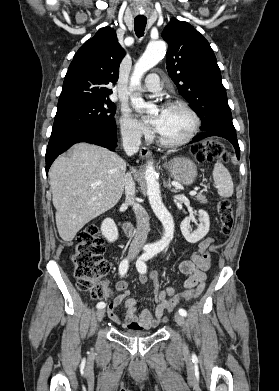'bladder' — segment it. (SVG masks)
Wrapping results in <instances>:
<instances>
[{
  "label": "bladder",
  "instance_id": "1",
  "mask_svg": "<svg viewBox=\"0 0 279 391\" xmlns=\"http://www.w3.org/2000/svg\"><path fill=\"white\" fill-rule=\"evenodd\" d=\"M121 334L127 338L139 339L149 335L147 332H138L134 330L121 331Z\"/></svg>",
  "mask_w": 279,
  "mask_h": 391
}]
</instances>
